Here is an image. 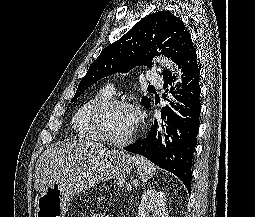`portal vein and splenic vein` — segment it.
<instances>
[{"label":"portal vein and splenic vein","instance_id":"18ae733b","mask_svg":"<svg viewBox=\"0 0 255 217\" xmlns=\"http://www.w3.org/2000/svg\"><path fill=\"white\" fill-rule=\"evenodd\" d=\"M127 190H132V186L131 185H127Z\"/></svg>","mask_w":255,"mask_h":217}]
</instances>
